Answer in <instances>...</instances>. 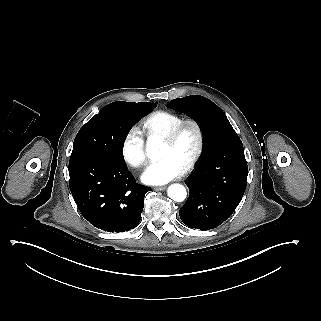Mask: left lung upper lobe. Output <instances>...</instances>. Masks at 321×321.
Listing matches in <instances>:
<instances>
[{"label": "left lung upper lobe", "mask_w": 321, "mask_h": 321, "mask_svg": "<svg viewBox=\"0 0 321 321\" xmlns=\"http://www.w3.org/2000/svg\"><path fill=\"white\" fill-rule=\"evenodd\" d=\"M166 106L197 122L203 133L202 158L222 144L240 140L224 112L205 97L191 95L171 100Z\"/></svg>", "instance_id": "left-lung-upper-lobe-1"}]
</instances>
